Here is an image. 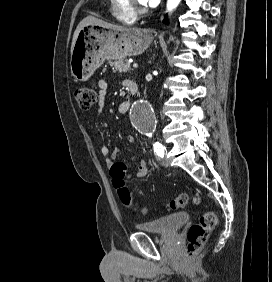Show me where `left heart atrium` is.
Masks as SVG:
<instances>
[{
    "label": "left heart atrium",
    "mask_w": 272,
    "mask_h": 282,
    "mask_svg": "<svg viewBox=\"0 0 272 282\" xmlns=\"http://www.w3.org/2000/svg\"><path fill=\"white\" fill-rule=\"evenodd\" d=\"M146 7H154L158 5L160 0H143Z\"/></svg>",
    "instance_id": "39dd6f15"
}]
</instances>
